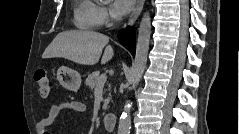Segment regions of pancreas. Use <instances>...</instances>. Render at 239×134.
Segmentation results:
<instances>
[{
    "instance_id": "1",
    "label": "pancreas",
    "mask_w": 239,
    "mask_h": 134,
    "mask_svg": "<svg viewBox=\"0 0 239 134\" xmlns=\"http://www.w3.org/2000/svg\"><path fill=\"white\" fill-rule=\"evenodd\" d=\"M99 80H100L99 71H96L88 75V77L86 78L85 84L91 90H93L96 88L97 84L99 83ZM109 101H110V98H107L104 101L103 109H107Z\"/></svg>"
}]
</instances>
